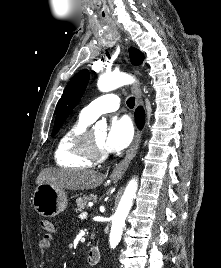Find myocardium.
<instances>
[{
    "instance_id": "obj_1",
    "label": "myocardium",
    "mask_w": 221,
    "mask_h": 268,
    "mask_svg": "<svg viewBox=\"0 0 221 268\" xmlns=\"http://www.w3.org/2000/svg\"><path fill=\"white\" fill-rule=\"evenodd\" d=\"M79 145L83 155L93 162H102L108 156L105 150L96 145L92 137V131L89 129L81 136Z\"/></svg>"
}]
</instances>
